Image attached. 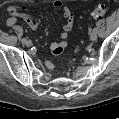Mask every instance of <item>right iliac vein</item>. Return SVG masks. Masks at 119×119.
Returning a JSON list of instances; mask_svg holds the SVG:
<instances>
[{
  "mask_svg": "<svg viewBox=\"0 0 119 119\" xmlns=\"http://www.w3.org/2000/svg\"><path fill=\"white\" fill-rule=\"evenodd\" d=\"M23 44L29 47L32 45V42L30 40H26Z\"/></svg>",
  "mask_w": 119,
  "mask_h": 119,
  "instance_id": "obj_1",
  "label": "right iliac vein"
}]
</instances>
